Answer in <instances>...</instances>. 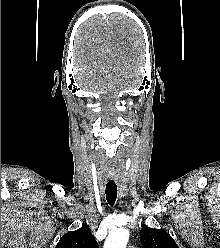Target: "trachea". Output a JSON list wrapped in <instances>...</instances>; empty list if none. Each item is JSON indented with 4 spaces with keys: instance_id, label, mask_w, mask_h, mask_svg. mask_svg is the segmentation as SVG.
<instances>
[{
    "instance_id": "1",
    "label": "trachea",
    "mask_w": 220,
    "mask_h": 248,
    "mask_svg": "<svg viewBox=\"0 0 220 248\" xmlns=\"http://www.w3.org/2000/svg\"><path fill=\"white\" fill-rule=\"evenodd\" d=\"M105 193L107 202L113 206L117 198V185L115 183L106 184Z\"/></svg>"
}]
</instances>
